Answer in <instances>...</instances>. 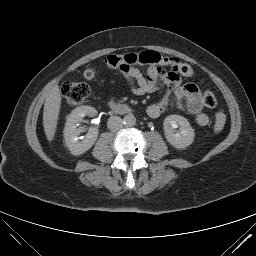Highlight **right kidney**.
Returning <instances> with one entry per match:
<instances>
[{
    "instance_id": "1",
    "label": "right kidney",
    "mask_w": 256,
    "mask_h": 256,
    "mask_svg": "<svg viewBox=\"0 0 256 256\" xmlns=\"http://www.w3.org/2000/svg\"><path fill=\"white\" fill-rule=\"evenodd\" d=\"M97 111L91 106H81L75 108L66 119L64 128V139L66 146L72 155H81L89 150L98 138L97 128H90L87 135L81 141L79 135L84 131L83 127H78L82 118L90 115H96Z\"/></svg>"
}]
</instances>
